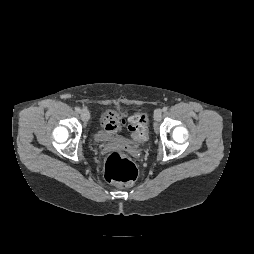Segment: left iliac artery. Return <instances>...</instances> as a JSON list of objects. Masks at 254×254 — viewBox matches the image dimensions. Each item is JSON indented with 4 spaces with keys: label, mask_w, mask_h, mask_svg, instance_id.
I'll list each match as a JSON object with an SVG mask.
<instances>
[{
    "label": "left iliac artery",
    "mask_w": 254,
    "mask_h": 254,
    "mask_svg": "<svg viewBox=\"0 0 254 254\" xmlns=\"http://www.w3.org/2000/svg\"><path fill=\"white\" fill-rule=\"evenodd\" d=\"M163 112H166L167 110H168V108L167 107H163Z\"/></svg>",
    "instance_id": "obj_1"
}]
</instances>
